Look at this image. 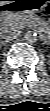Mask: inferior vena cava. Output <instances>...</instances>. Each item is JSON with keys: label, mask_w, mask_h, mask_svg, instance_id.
<instances>
[{"label": "inferior vena cava", "mask_w": 50, "mask_h": 111, "mask_svg": "<svg viewBox=\"0 0 50 111\" xmlns=\"http://www.w3.org/2000/svg\"><path fill=\"white\" fill-rule=\"evenodd\" d=\"M20 35V31L18 30H9L5 31L1 34V38L5 41H11L13 39H16Z\"/></svg>", "instance_id": "inferior-vena-cava-1"}]
</instances>
